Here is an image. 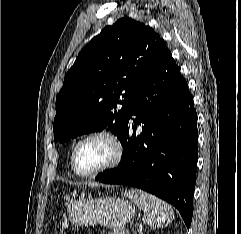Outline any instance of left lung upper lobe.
I'll use <instances>...</instances> for the list:
<instances>
[{"mask_svg":"<svg viewBox=\"0 0 241 234\" xmlns=\"http://www.w3.org/2000/svg\"><path fill=\"white\" fill-rule=\"evenodd\" d=\"M165 48L159 34L131 18L106 26L64 78L56 97L54 140L65 142L107 127L122 143L130 103Z\"/></svg>","mask_w":241,"mask_h":234,"instance_id":"5c2ea615","label":"left lung upper lobe"}]
</instances>
